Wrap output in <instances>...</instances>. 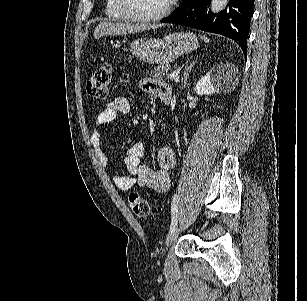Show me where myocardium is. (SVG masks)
<instances>
[{
  "instance_id": "f54148a6",
  "label": "myocardium",
  "mask_w": 307,
  "mask_h": 301,
  "mask_svg": "<svg viewBox=\"0 0 307 301\" xmlns=\"http://www.w3.org/2000/svg\"><path fill=\"white\" fill-rule=\"evenodd\" d=\"M128 1L130 0H116L114 2L117 7L116 11L120 14L118 17H124L125 22H161V18L166 17L173 4L172 0H168L161 11H133L125 10Z\"/></svg>"
}]
</instances>
